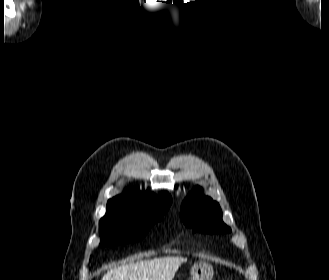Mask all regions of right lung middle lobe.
Wrapping results in <instances>:
<instances>
[{
  "label": "right lung middle lobe",
  "mask_w": 329,
  "mask_h": 280,
  "mask_svg": "<svg viewBox=\"0 0 329 280\" xmlns=\"http://www.w3.org/2000/svg\"><path fill=\"white\" fill-rule=\"evenodd\" d=\"M170 205L144 212L123 205H108L99 222L100 246L136 242L143 239L152 224L160 221Z\"/></svg>",
  "instance_id": "obj_1"
}]
</instances>
